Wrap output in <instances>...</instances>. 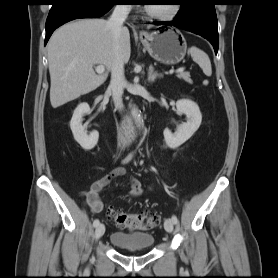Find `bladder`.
Wrapping results in <instances>:
<instances>
[{
    "mask_svg": "<svg viewBox=\"0 0 278 278\" xmlns=\"http://www.w3.org/2000/svg\"><path fill=\"white\" fill-rule=\"evenodd\" d=\"M155 238L151 233L134 231H116L110 235V243L121 249L145 250L154 245Z\"/></svg>",
    "mask_w": 278,
    "mask_h": 278,
    "instance_id": "1",
    "label": "bladder"
}]
</instances>
